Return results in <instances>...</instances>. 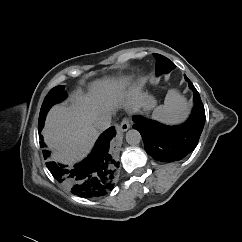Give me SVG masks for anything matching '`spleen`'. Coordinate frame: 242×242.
<instances>
[{
    "mask_svg": "<svg viewBox=\"0 0 242 242\" xmlns=\"http://www.w3.org/2000/svg\"><path fill=\"white\" fill-rule=\"evenodd\" d=\"M187 113L186 99L176 90H170L165 97L164 105L156 107L153 116L163 123L174 125L183 122Z\"/></svg>",
    "mask_w": 242,
    "mask_h": 242,
    "instance_id": "spleen-1",
    "label": "spleen"
}]
</instances>
